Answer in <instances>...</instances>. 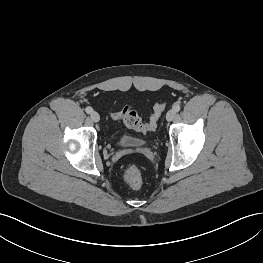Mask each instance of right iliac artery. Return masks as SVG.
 <instances>
[{"instance_id": "obj_1", "label": "right iliac artery", "mask_w": 263, "mask_h": 263, "mask_svg": "<svg viewBox=\"0 0 263 263\" xmlns=\"http://www.w3.org/2000/svg\"><path fill=\"white\" fill-rule=\"evenodd\" d=\"M85 111L87 114H91L93 109L91 107H86Z\"/></svg>"}]
</instances>
